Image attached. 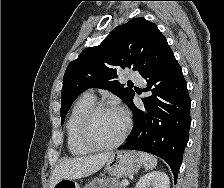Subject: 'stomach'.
I'll use <instances>...</instances> for the list:
<instances>
[{
  "instance_id": "stomach-1",
  "label": "stomach",
  "mask_w": 224,
  "mask_h": 188,
  "mask_svg": "<svg viewBox=\"0 0 224 188\" xmlns=\"http://www.w3.org/2000/svg\"><path fill=\"white\" fill-rule=\"evenodd\" d=\"M142 166L139 154L134 151L113 152L106 163L105 170L116 178L134 175ZM54 188H80L73 179H62L58 181Z\"/></svg>"
}]
</instances>
